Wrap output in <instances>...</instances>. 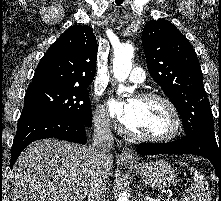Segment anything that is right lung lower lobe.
Listing matches in <instances>:
<instances>
[{
  "instance_id": "obj_1",
  "label": "right lung lower lobe",
  "mask_w": 221,
  "mask_h": 201,
  "mask_svg": "<svg viewBox=\"0 0 221 201\" xmlns=\"http://www.w3.org/2000/svg\"><path fill=\"white\" fill-rule=\"evenodd\" d=\"M91 126L68 116L38 112L21 115L12 145L10 167L27 145L39 139L54 137L85 144L86 129Z\"/></svg>"
}]
</instances>
